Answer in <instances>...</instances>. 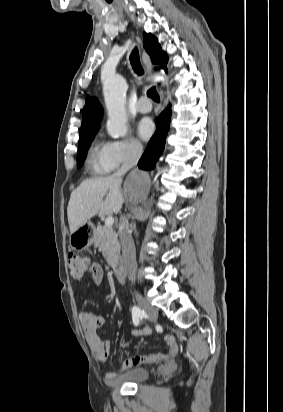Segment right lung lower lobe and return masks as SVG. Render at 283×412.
Returning a JSON list of instances; mask_svg holds the SVG:
<instances>
[{"label": "right lung lower lobe", "mask_w": 283, "mask_h": 412, "mask_svg": "<svg viewBox=\"0 0 283 412\" xmlns=\"http://www.w3.org/2000/svg\"><path fill=\"white\" fill-rule=\"evenodd\" d=\"M170 118L171 104H169L156 118V132L149 141L148 146L138 163L139 168L149 170L155 167L158 158L164 150Z\"/></svg>", "instance_id": "obj_1"}]
</instances>
